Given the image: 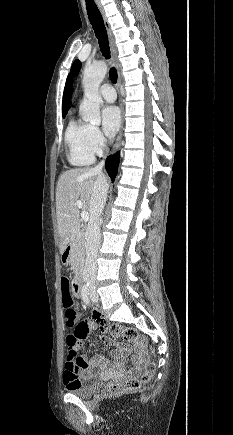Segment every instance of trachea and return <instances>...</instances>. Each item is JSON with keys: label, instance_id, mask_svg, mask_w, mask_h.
<instances>
[{"label": "trachea", "instance_id": "1", "mask_svg": "<svg viewBox=\"0 0 233 435\" xmlns=\"http://www.w3.org/2000/svg\"><path fill=\"white\" fill-rule=\"evenodd\" d=\"M85 2L87 15L96 35V38L98 39L100 51L106 59H110L109 41L102 15L94 0H85ZM109 76L110 80L113 83L117 82V71L114 67L110 69Z\"/></svg>", "mask_w": 233, "mask_h": 435}]
</instances>
